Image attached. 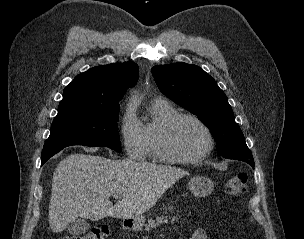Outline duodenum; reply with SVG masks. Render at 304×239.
<instances>
[{"label": "duodenum", "instance_id": "410a0bca", "mask_svg": "<svg viewBox=\"0 0 304 239\" xmlns=\"http://www.w3.org/2000/svg\"><path fill=\"white\" fill-rule=\"evenodd\" d=\"M134 225V221L133 220H127L125 222V227L126 228H131Z\"/></svg>", "mask_w": 304, "mask_h": 239}]
</instances>
